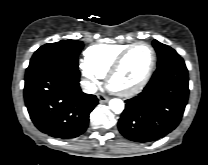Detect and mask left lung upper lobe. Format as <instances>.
I'll use <instances>...</instances> for the list:
<instances>
[{"mask_svg": "<svg viewBox=\"0 0 208 165\" xmlns=\"http://www.w3.org/2000/svg\"><path fill=\"white\" fill-rule=\"evenodd\" d=\"M153 46L158 54V65L163 62L179 56L178 53L171 47L158 42L157 40L153 41Z\"/></svg>", "mask_w": 208, "mask_h": 165, "instance_id": "left-lung-upper-lobe-1", "label": "left lung upper lobe"}]
</instances>
